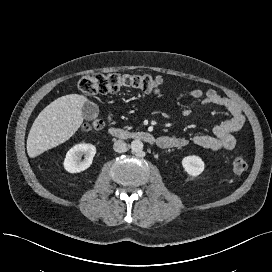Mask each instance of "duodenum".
Returning a JSON list of instances; mask_svg holds the SVG:
<instances>
[{
  "label": "duodenum",
  "mask_w": 272,
  "mask_h": 272,
  "mask_svg": "<svg viewBox=\"0 0 272 272\" xmlns=\"http://www.w3.org/2000/svg\"><path fill=\"white\" fill-rule=\"evenodd\" d=\"M109 134L111 137L116 139H123V140L137 139V140L144 141L148 144H158V139H156L148 131H130V130H125L118 127H112L109 130Z\"/></svg>",
  "instance_id": "410a0bca"
}]
</instances>
